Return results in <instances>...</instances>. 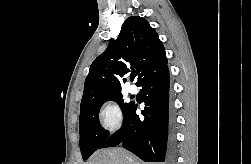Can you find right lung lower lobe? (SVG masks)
Wrapping results in <instances>:
<instances>
[{
	"mask_svg": "<svg viewBox=\"0 0 251 164\" xmlns=\"http://www.w3.org/2000/svg\"><path fill=\"white\" fill-rule=\"evenodd\" d=\"M142 87L144 119L136 115L133 102L124 113L122 128L108 137L100 148L122 144L145 162L174 161L173 120L169 112V72L167 64L146 74Z\"/></svg>",
	"mask_w": 251,
	"mask_h": 164,
	"instance_id": "1",
	"label": "right lung lower lobe"
}]
</instances>
